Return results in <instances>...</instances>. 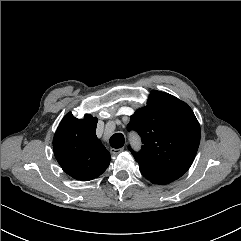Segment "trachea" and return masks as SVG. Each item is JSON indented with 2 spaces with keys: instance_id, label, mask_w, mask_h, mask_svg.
I'll list each match as a JSON object with an SVG mask.
<instances>
[{
  "instance_id": "3493384b",
  "label": "trachea",
  "mask_w": 241,
  "mask_h": 241,
  "mask_svg": "<svg viewBox=\"0 0 241 241\" xmlns=\"http://www.w3.org/2000/svg\"><path fill=\"white\" fill-rule=\"evenodd\" d=\"M124 142V135L122 133H115L110 138V145L113 148H121Z\"/></svg>"
}]
</instances>
